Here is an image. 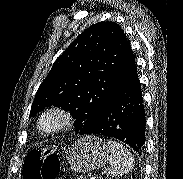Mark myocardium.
<instances>
[{"instance_id":"f54148a6","label":"myocardium","mask_w":183,"mask_h":179,"mask_svg":"<svg viewBox=\"0 0 183 179\" xmlns=\"http://www.w3.org/2000/svg\"><path fill=\"white\" fill-rule=\"evenodd\" d=\"M50 117L56 118L57 123L51 128H45L44 122ZM72 123L73 115L68 109L60 106H53L47 108L39 117L38 129L43 134L52 135L66 130L72 125Z\"/></svg>"}]
</instances>
